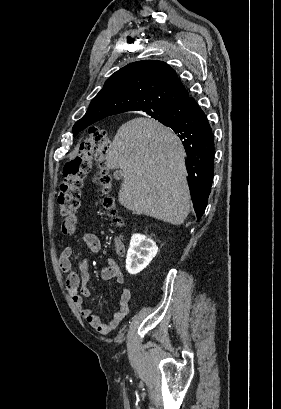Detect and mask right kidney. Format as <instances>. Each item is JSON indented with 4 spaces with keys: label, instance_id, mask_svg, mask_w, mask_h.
<instances>
[{
    "label": "right kidney",
    "instance_id": "right-kidney-1",
    "mask_svg": "<svg viewBox=\"0 0 281 409\" xmlns=\"http://www.w3.org/2000/svg\"><path fill=\"white\" fill-rule=\"evenodd\" d=\"M157 253L158 247L153 239L140 235V233H134L127 251L126 271L130 275H137L151 263Z\"/></svg>",
    "mask_w": 281,
    "mask_h": 409
}]
</instances>
